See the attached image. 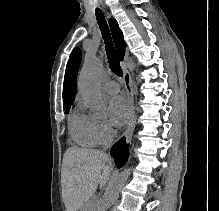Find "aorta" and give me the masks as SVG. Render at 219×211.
Returning a JSON list of instances; mask_svg holds the SVG:
<instances>
[{"label": "aorta", "instance_id": "762f6f07", "mask_svg": "<svg viewBox=\"0 0 219 211\" xmlns=\"http://www.w3.org/2000/svg\"><path fill=\"white\" fill-rule=\"evenodd\" d=\"M103 71L102 63L96 58H86L79 74L78 87L91 113L97 118H105L107 109L99 89V80ZM131 168H126L107 187L99 201L97 211H107L118 199Z\"/></svg>", "mask_w": 219, "mask_h": 211}]
</instances>
